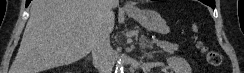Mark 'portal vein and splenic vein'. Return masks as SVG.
<instances>
[{"mask_svg":"<svg viewBox=\"0 0 244 73\" xmlns=\"http://www.w3.org/2000/svg\"><path fill=\"white\" fill-rule=\"evenodd\" d=\"M152 42H153V43H158L159 40H158V39H154Z\"/></svg>","mask_w":244,"mask_h":73,"instance_id":"1","label":"portal vein and splenic vein"}]
</instances>
